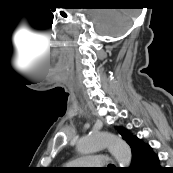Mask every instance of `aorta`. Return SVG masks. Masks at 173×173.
Returning <instances> with one entry per match:
<instances>
[{"mask_svg": "<svg viewBox=\"0 0 173 173\" xmlns=\"http://www.w3.org/2000/svg\"><path fill=\"white\" fill-rule=\"evenodd\" d=\"M107 148L117 160L120 167H129L132 160V153L129 145L120 137L108 133L99 132L88 135L78 143L77 150L81 154L98 152Z\"/></svg>", "mask_w": 173, "mask_h": 173, "instance_id": "aorta-1", "label": "aorta"}]
</instances>
